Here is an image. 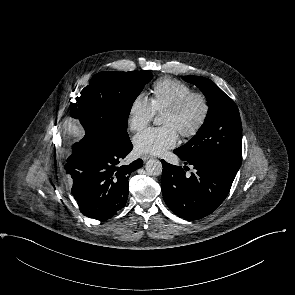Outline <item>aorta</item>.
<instances>
[{
    "mask_svg": "<svg viewBox=\"0 0 295 295\" xmlns=\"http://www.w3.org/2000/svg\"><path fill=\"white\" fill-rule=\"evenodd\" d=\"M154 124L155 125L160 124V121L157 117L154 119ZM145 169L148 175L158 176L162 173L163 167H162V163L159 160L150 159L149 161H147Z\"/></svg>",
    "mask_w": 295,
    "mask_h": 295,
    "instance_id": "obj_1",
    "label": "aorta"
}]
</instances>
